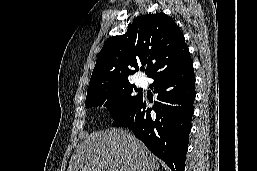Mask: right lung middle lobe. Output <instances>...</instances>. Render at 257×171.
<instances>
[{
    "mask_svg": "<svg viewBox=\"0 0 257 171\" xmlns=\"http://www.w3.org/2000/svg\"><path fill=\"white\" fill-rule=\"evenodd\" d=\"M135 91L129 82L92 90L87 92L86 107L105 106L116 120L128 113L142 96Z\"/></svg>",
    "mask_w": 257,
    "mask_h": 171,
    "instance_id": "1",
    "label": "right lung middle lobe"
}]
</instances>
